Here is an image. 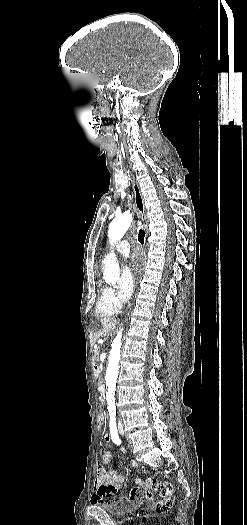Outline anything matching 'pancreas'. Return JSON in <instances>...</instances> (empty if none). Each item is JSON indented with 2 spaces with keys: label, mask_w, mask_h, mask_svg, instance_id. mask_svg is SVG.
Segmentation results:
<instances>
[{
  "label": "pancreas",
  "mask_w": 247,
  "mask_h": 525,
  "mask_svg": "<svg viewBox=\"0 0 247 525\" xmlns=\"http://www.w3.org/2000/svg\"><path fill=\"white\" fill-rule=\"evenodd\" d=\"M96 355H98V352H95V355H93L94 361H97V359H98V356H96Z\"/></svg>",
  "instance_id": "obj_1"
}]
</instances>
